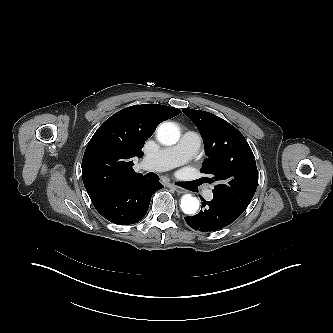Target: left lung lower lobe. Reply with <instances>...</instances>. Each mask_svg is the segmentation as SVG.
I'll return each mask as SVG.
<instances>
[{
	"mask_svg": "<svg viewBox=\"0 0 333 333\" xmlns=\"http://www.w3.org/2000/svg\"><path fill=\"white\" fill-rule=\"evenodd\" d=\"M205 209L194 216L185 217L186 223L195 230L212 232L222 229L236 220L244 210L236 205L213 195L211 201L203 199Z\"/></svg>",
	"mask_w": 333,
	"mask_h": 333,
	"instance_id": "left-lung-lower-lobe-1",
	"label": "left lung lower lobe"
}]
</instances>
